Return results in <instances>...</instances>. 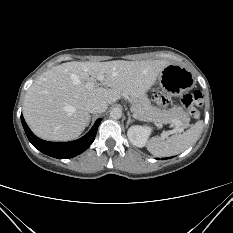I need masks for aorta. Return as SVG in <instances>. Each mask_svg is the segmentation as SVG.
I'll return each instance as SVG.
<instances>
[{"mask_svg": "<svg viewBox=\"0 0 233 233\" xmlns=\"http://www.w3.org/2000/svg\"><path fill=\"white\" fill-rule=\"evenodd\" d=\"M122 116V110L120 108H113L110 111V117L112 119H120Z\"/></svg>", "mask_w": 233, "mask_h": 233, "instance_id": "1", "label": "aorta"}]
</instances>
